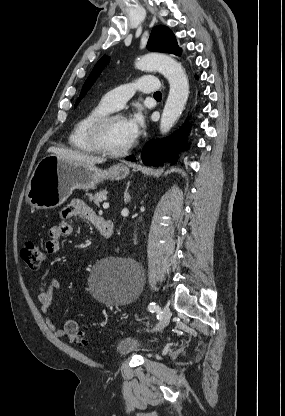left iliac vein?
Masks as SVG:
<instances>
[{"label":"left iliac vein","mask_w":285,"mask_h":416,"mask_svg":"<svg viewBox=\"0 0 285 416\" xmlns=\"http://www.w3.org/2000/svg\"><path fill=\"white\" fill-rule=\"evenodd\" d=\"M170 316H171V311H170L169 306L164 305L161 320L159 321V323L156 326L157 331H161V330L164 329V327L169 323Z\"/></svg>","instance_id":"obj_1"}]
</instances>
